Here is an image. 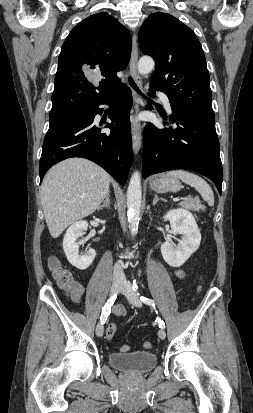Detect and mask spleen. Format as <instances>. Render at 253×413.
I'll return each instance as SVG.
<instances>
[{
    "mask_svg": "<svg viewBox=\"0 0 253 413\" xmlns=\"http://www.w3.org/2000/svg\"><path fill=\"white\" fill-rule=\"evenodd\" d=\"M168 175L179 178L189 186L194 187L201 194V196L209 206L214 205L213 191L203 178L185 170H173L169 172Z\"/></svg>",
    "mask_w": 253,
    "mask_h": 413,
    "instance_id": "spleen-1",
    "label": "spleen"
}]
</instances>
